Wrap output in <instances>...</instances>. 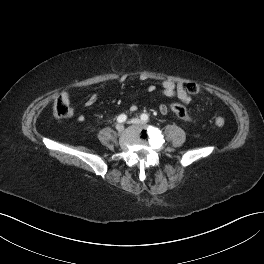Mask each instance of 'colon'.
<instances>
[{"instance_id": "colon-1", "label": "colon", "mask_w": 264, "mask_h": 264, "mask_svg": "<svg viewBox=\"0 0 264 264\" xmlns=\"http://www.w3.org/2000/svg\"><path fill=\"white\" fill-rule=\"evenodd\" d=\"M186 91L191 95H196L200 92V87L197 83L190 82L186 85ZM170 110L179 119L185 122L192 121L190 115L188 114L186 108L183 105L179 103H171ZM54 115L58 119H63L68 117L70 115L69 104L59 98L54 105ZM215 124L218 127H223L225 125V120L222 117H216Z\"/></svg>"}]
</instances>
